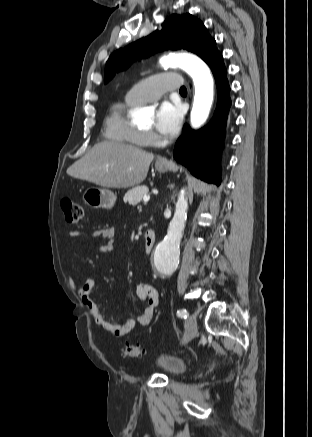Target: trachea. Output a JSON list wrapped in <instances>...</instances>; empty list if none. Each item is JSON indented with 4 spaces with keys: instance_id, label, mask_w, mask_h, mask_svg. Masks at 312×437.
I'll list each match as a JSON object with an SVG mask.
<instances>
[{
    "instance_id": "3493384b",
    "label": "trachea",
    "mask_w": 312,
    "mask_h": 437,
    "mask_svg": "<svg viewBox=\"0 0 312 437\" xmlns=\"http://www.w3.org/2000/svg\"><path fill=\"white\" fill-rule=\"evenodd\" d=\"M180 93H187V89L183 86L180 88Z\"/></svg>"
}]
</instances>
